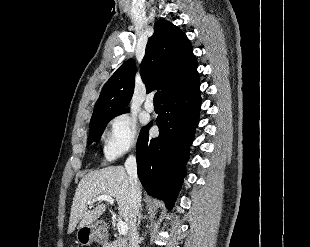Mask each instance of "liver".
I'll list each match as a JSON object with an SVG mask.
<instances>
[{
    "label": "liver",
    "mask_w": 310,
    "mask_h": 247,
    "mask_svg": "<svg viewBox=\"0 0 310 247\" xmlns=\"http://www.w3.org/2000/svg\"><path fill=\"white\" fill-rule=\"evenodd\" d=\"M100 195L115 198L119 216L129 225L130 183L128 174L123 166H108L91 171L80 180L71 206L68 234L75 230L78 223L79 227L92 224L105 212V204H98L93 209L91 207L88 209V202H92Z\"/></svg>",
    "instance_id": "liver-1"
}]
</instances>
